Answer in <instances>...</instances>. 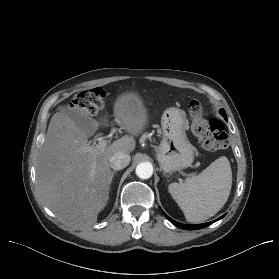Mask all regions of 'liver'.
<instances>
[{
  "label": "liver",
  "mask_w": 279,
  "mask_h": 279,
  "mask_svg": "<svg viewBox=\"0 0 279 279\" xmlns=\"http://www.w3.org/2000/svg\"><path fill=\"white\" fill-rule=\"evenodd\" d=\"M113 115L129 135L90 153L84 149L90 145L89 135L60 110L52 116L39 151L36 182L40 196L63 223L75 230L97 222L109 199V158L119 151L132 152L134 136L140 135L148 123L147 109L136 92L119 95ZM102 124L108 125L107 117Z\"/></svg>",
  "instance_id": "liver-1"
}]
</instances>
